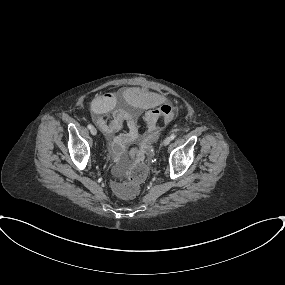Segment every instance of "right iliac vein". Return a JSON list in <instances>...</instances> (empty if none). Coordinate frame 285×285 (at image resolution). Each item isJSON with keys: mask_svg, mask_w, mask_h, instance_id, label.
Masks as SVG:
<instances>
[{"mask_svg": "<svg viewBox=\"0 0 285 285\" xmlns=\"http://www.w3.org/2000/svg\"><path fill=\"white\" fill-rule=\"evenodd\" d=\"M90 132H91V134L94 135V136L97 134V130H96L95 127H92V128L90 129Z\"/></svg>", "mask_w": 285, "mask_h": 285, "instance_id": "1", "label": "right iliac vein"}]
</instances>
